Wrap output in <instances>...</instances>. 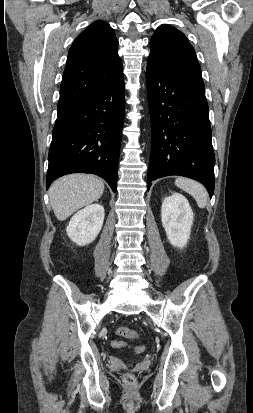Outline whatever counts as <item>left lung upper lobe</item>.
<instances>
[{"label":"left lung upper lobe","instance_id":"obj_1","mask_svg":"<svg viewBox=\"0 0 253 413\" xmlns=\"http://www.w3.org/2000/svg\"><path fill=\"white\" fill-rule=\"evenodd\" d=\"M148 59L156 62L167 73L205 92L195 51L186 36L176 28L161 25L150 41Z\"/></svg>","mask_w":253,"mask_h":413}]
</instances>
